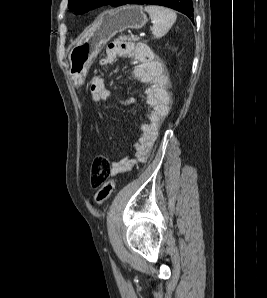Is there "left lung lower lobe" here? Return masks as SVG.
<instances>
[{
    "mask_svg": "<svg viewBox=\"0 0 267 298\" xmlns=\"http://www.w3.org/2000/svg\"><path fill=\"white\" fill-rule=\"evenodd\" d=\"M125 4L162 5L184 13L191 20L193 16V4L191 0H122L119 6Z\"/></svg>",
    "mask_w": 267,
    "mask_h": 298,
    "instance_id": "1",
    "label": "left lung lower lobe"
}]
</instances>
